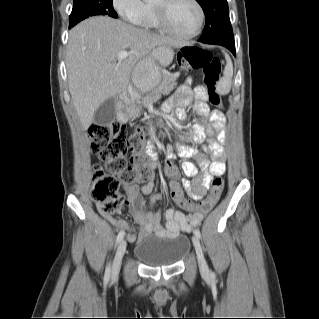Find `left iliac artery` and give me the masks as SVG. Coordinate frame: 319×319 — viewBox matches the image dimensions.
<instances>
[{
  "label": "left iliac artery",
  "instance_id": "44dca946",
  "mask_svg": "<svg viewBox=\"0 0 319 319\" xmlns=\"http://www.w3.org/2000/svg\"><path fill=\"white\" fill-rule=\"evenodd\" d=\"M194 234L198 237V238H201V233H200V230L199 229H195L194 230ZM212 276L214 275L213 272L210 273Z\"/></svg>",
  "mask_w": 319,
  "mask_h": 319
}]
</instances>
